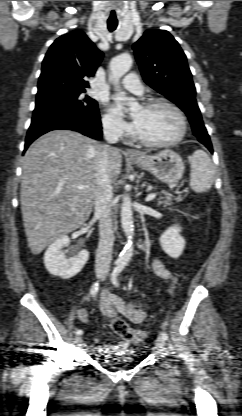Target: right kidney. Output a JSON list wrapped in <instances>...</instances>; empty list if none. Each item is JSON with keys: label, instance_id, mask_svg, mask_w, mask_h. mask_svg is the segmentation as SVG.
I'll use <instances>...</instances> for the list:
<instances>
[{"label": "right kidney", "instance_id": "1", "mask_svg": "<svg viewBox=\"0 0 242 416\" xmlns=\"http://www.w3.org/2000/svg\"><path fill=\"white\" fill-rule=\"evenodd\" d=\"M70 239L64 235L55 240L44 255V265L50 274L62 279H69L78 274L86 264L89 253L87 250L79 251L77 256L66 258L62 248L68 245Z\"/></svg>", "mask_w": 242, "mask_h": 416}]
</instances>
